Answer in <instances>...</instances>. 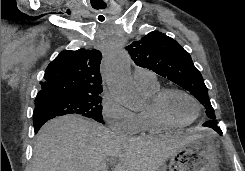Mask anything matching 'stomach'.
<instances>
[{"mask_svg":"<svg viewBox=\"0 0 245 171\" xmlns=\"http://www.w3.org/2000/svg\"><path fill=\"white\" fill-rule=\"evenodd\" d=\"M169 170L219 171L215 136L209 132L196 134L189 144L170 156Z\"/></svg>","mask_w":245,"mask_h":171,"instance_id":"0dacf381","label":"stomach"}]
</instances>
